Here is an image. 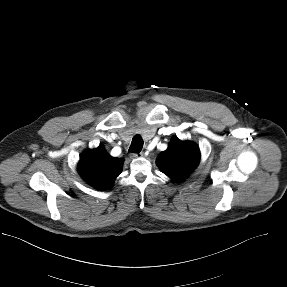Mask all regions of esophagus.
I'll return each mask as SVG.
<instances>
[{
    "label": "esophagus",
    "mask_w": 287,
    "mask_h": 287,
    "mask_svg": "<svg viewBox=\"0 0 287 287\" xmlns=\"http://www.w3.org/2000/svg\"><path fill=\"white\" fill-rule=\"evenodd\" d=\"M132 156L135 157V158H140V157H143V153L142 152L133 153Z\"/></svg>",
    "instance_id": "1"
}]
</instances>
